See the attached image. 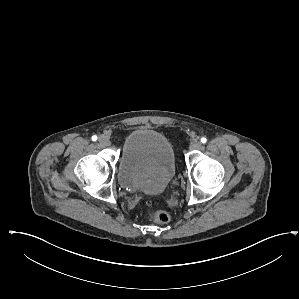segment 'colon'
I'll return each mask as SVG.
<instances>
[{"label":"colon","instance_id":"5ec220e1","mask_svg":"<svg viewBox=\"0 0 299 299\" xmlns=\"http://www.w3.org/2000/svg\"><path fill=\"white\" fill-rule=\"evenodd\" d=\"M149 217L158 224H167L170 221V215L163 210L153 211L149 214Z\"/></svg>","mask_w":299,"mask_h":299}]
</instances>
